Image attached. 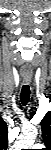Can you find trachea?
Listing matches in <instances>:
<instances>
[{
  "label": "trachea",
  "mask_w": 51,
  "mask_h": 150,
  "mask_svg": "<svg viewBox=\"0 0 51 150\" xmlns=\"http://www.w3.org/2000/svg\"><path fill=\"white\" fill-rule=\"evenodd\" d=\"M30 99V87L28 84L23 85L20 94L21 103L25 106L29 102Z\"/></svg>",
  "instance_id": "3493384b"
}]
</instances>
